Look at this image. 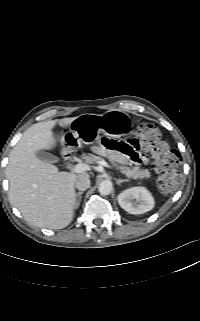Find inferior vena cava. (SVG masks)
Returning <instances> with one entry per match:
<instances>
[{
	"instance_id": "602c4592",
	"label": "inferior vena cava",
	"mask_w": 200,
	"mask_h": 321,
	"mask_svg": "<svg viewBox=\"0 0 200 321\" xmlns=\"http://www.w3.org/2000/svg\"><path fill=\"white\" fill-rule=\"evenodd\" d=\"M75 186L78 190L84 191L90 187V179L87 176H79Z\"/></svg>"
}]
</instances>
